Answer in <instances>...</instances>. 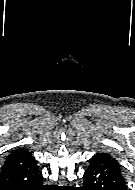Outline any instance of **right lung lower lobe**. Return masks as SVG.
<instances>
[{"instance_id": "1", "label": "right lung lower lobe", "mask_w": 135, "mask_h": 190, "mask_svg": "<svg viewBox=\"0 0 135 190\" xmlns=\"http://www.w3.org/2000/svg\"><path fill=\"white\" fill-rule=\"evenodd\" d=\"M0 190H47L33 156H8L0 173Z\"/></svg>"}]
</instances>
